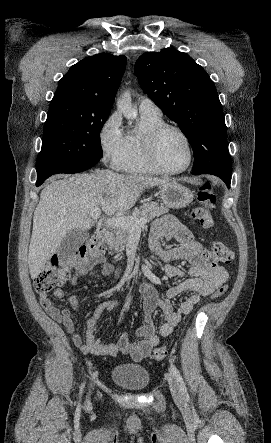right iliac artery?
<instances>
[{
    "mask_svg": "<svg viewBox=\"0 0 271 443\" xmlns=\"http://www.w3.org/2000/svg\"><path fill=\"white\" fill-rule=\"evenodd\" d=\"M83 388H84V384H82V386H81V388H80V393H82Z\"/></svg>",
    "mask_w": 271,
    "mask_h": 443,
    "instance_id": "1",
    "label": "right iliac artery"
}]
</instances>
